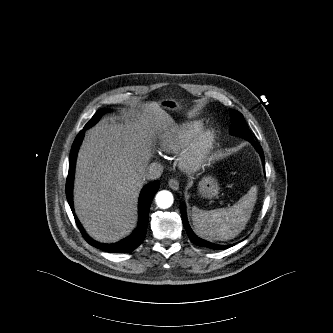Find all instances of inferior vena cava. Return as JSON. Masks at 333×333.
I'll return each mask as SVG.
<instances>
[{"instance_id": "inferior-vena-cava-1", "label": "inferior vena cava", "mask_w": 333, "mask_h": 333, "mask_svg": "<svg viewBox=\"0 0 333 333\" xmlns=\"http://www.w3.org/2000/svg\"><path fill=\"white\" fill-rule=\"evenodd\" d=\"M163 173V166L159 163H151L146 170L145 178L148 180H155L160 178Z\"/></svg>"}]
</instances>
